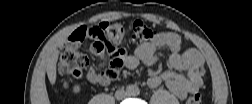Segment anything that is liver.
I'll use <instances>...</instances> for the list:
<instances>
[{
	"mask_svg": "<svg viewBox=\"0 0 252 104\" xmlns=\"http://www.w3.org/2000/svg\"><path fill=\"white\" fill-rule=\"evenodd\" d=\"M67 36H68V33H64L61 35V37L55 43L53 50L47 60L46 72H47L48 79L52 85L55 84L56 78H57L56 65H57L58 56H59V51L57 47H60L63 45V43L67 39Z\"/></svg>",
	"mask_w": 252,
	"mask_h": 104,
	"instance_id": "1",
	"label": "liver"
}]
</instances>
